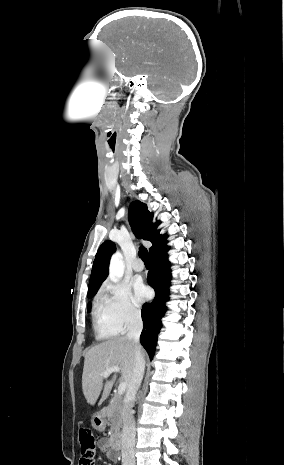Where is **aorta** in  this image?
Here are the masks:
<instances>
[{"mask_svg": "<svg viewBox=\"0 0 284 465\" xmlns=\"http://www.w3.org/2000/svg\"><path fill=\"white\" fill-rule=\"evenodd\" d=\"M124 261L123 256L120 252H116L110 261L109 275L114 281H118L123 277L124 274Z\"/></svg>", "mask_w": 284, "mask_h": 465, "instance_id": "1", "label": "aorta"}]
</instances>
